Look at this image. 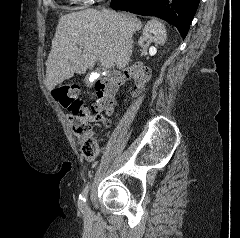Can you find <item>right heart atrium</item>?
Listing matches in <instances>:
<instances>
[{
	"label": "right heart atrium",
	"mask_w": 240,
	"mask_h": 238,
	"mask_svg": "<svg viewBox=\"0 0 240 238\" xmlns=\"http://www.w3.org/2000/svg\"><path fill=\"white\" fill-rule=\"evenodd\" d=\"M74 1H76L77 3H81V4H92L95 1H99V0H74Z\"/></svg>",
	"instance_id": "d8ad5b80"
}]
</instances>
